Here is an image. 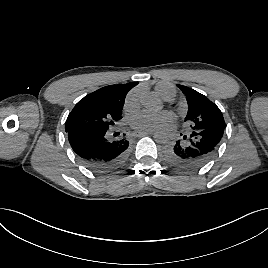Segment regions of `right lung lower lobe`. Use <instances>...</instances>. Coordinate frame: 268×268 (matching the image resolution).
Wrapping results in <instances>:
<instances>
[{"instance_id": "obj_1", "label": "right lung lower lobe", "mask_w": 268, "mask_h": 268, "mask_svg": "<svg viewBox=\"0 0 268 268\" xmlns=\"http://www.w3.org/2000/svg\"><path fill=\"white\" fill-rule=\"evenodd\" d=\"M69 143L87 168L105 173L119 168L127 155L126 138L111 139L108 130H70Z\"/></svg>"}]
</instances>
